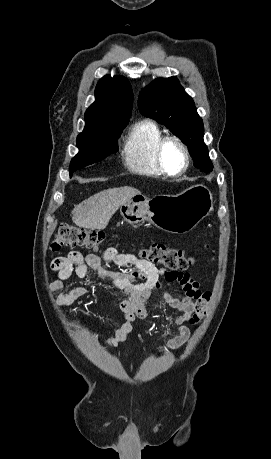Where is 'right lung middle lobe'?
I'll use <instances>...</instances> for the list:
<instances>
[{
  "mask_svg": "<svg viewBox=\"0 0 271 459\" xmlns=\"http://www.w3.org/2000/svg\"><path fill=\"white\" fill-rule=\"evenodd\" d=\"M128 120L100 119L86 122L77 137L78 154L69 167L70 176L78 169L96 163L118 151L117 140Z\"/></svg>",
  "mask_w": 271,
  "mask_h": 459,
  "instance_id": "1",
  "label": "right lung middle lobe"
}]
</instances>
